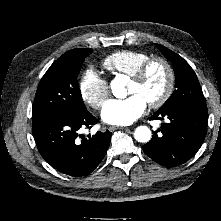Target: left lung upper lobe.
<instances>
[{
  "mask_svg": "<svg viewBox=\"0 0 221 221\" xmlns=\"http://www.w3.org/2000/svg\"><path fill=\"white\" fill-rule=\"evenodd\" d=\"M156 46L167 59L173 62L176 78V90L158 111H168L187 104L206 105L199 81L191 66L168 48L159 44Z\"/></svg>",
  "mask_w": 221,
  "mask_h": 221,
  "instance_id": "1",
  "label": "left lung upper lobe"
}]
</instances>
